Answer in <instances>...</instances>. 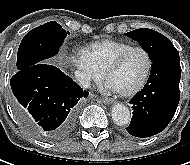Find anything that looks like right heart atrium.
I'll return each mask as SVG.
<instances>
[{
  "label": "right heart atrium",
  "instance_id": "obj_1",
  "mask_svg": "<svg viewBox=\"0 0 190 165\" xmlns=\"http://www.w3.org/2000/svg\"><path fill=\"white\" fill-rule=\"evenodd\" d=\"M70 64L74 68L76 78L84 86L99 82L103 77V72L96 66L86 48L74 49L70 56Z\"/></svg>",
  "mask_w": 190,
  "mask_h": 165
}]
</instances>
